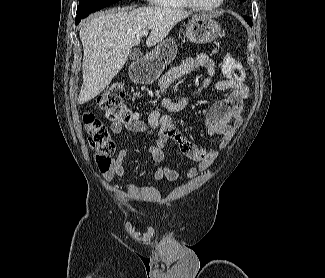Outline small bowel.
Instances as JSON below:
<instances>
[{"label":"small bowel","mask_w":325,"mask_h":278,"mask_svg":"<svg viewBox=\"0 0 325 278\" xmlns=\"http://www.w3.org/2000/svg\"><path fill=\"white\" fill-rule=\"evenodd\" d=\"M199 68L206 70L205 78L198 82L191 93L178 100L170 99L166 91L169 85L176 79H180L190 73H196ZM215 63L213 59L201 53L195 57L185 58L179 65L171 68L162 77L159 84V92L163 108L170 113L184 111L189 103L197 98L207 87L213 85L218 91H228V96L215 102L207 111L205 122L210 135H220L221 140L215 148L205 149L202 146L188 140L179 130L174 119L158 110H153L147 118V122L134 120L129 123H111V131L120 134L124 131L132 133H147L150 129L157 132V140L150 148L152 165L154 167L155 180L166 179L178 181L182 178L193 179L199 172L206 171L212 164L218 150L225 147L234 137L236 131L242 124L243 102L249 96L248 87L240 82L230 80H215ZM173 140L179 150L198 166H190L184 174L172 169L166 163L165 148L167 142ZM127 148L121 149L112 159L111 166L103 173L105 180L110 181L115 177L122 178L125 175L124 161L128 156Z\"/></svg>","instance_id":"c3829d8e"}]
</instances>
